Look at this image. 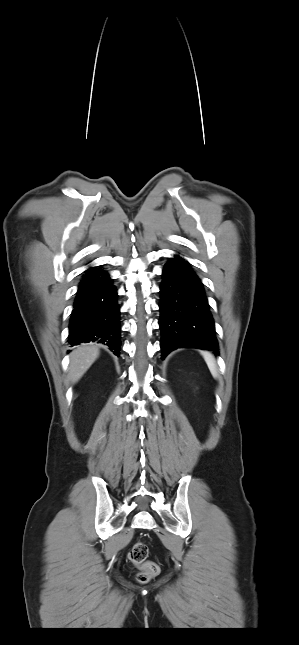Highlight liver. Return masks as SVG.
Wrapping results in <instances>:
<instances>
[{
  "label": "liver",
  "mask_w": 299,
  "mask_h": 645,
  "mask_svg": "<svg viewBox=\"0 0 299 645\" xmlns=\"http://www.w3.org/2000/svg\"><path fill=\"white\" fill-rule=\"evenodd\" d=\"M98 356L99 349L94 345L83 344L74 349L70 355L69 378L71 382H78Z\"/></svg>",
  "instance_id": "liver-1"
}]
</instances>
